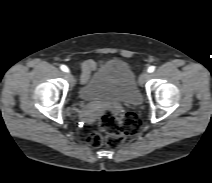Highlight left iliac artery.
<instances>
[{"label": "left iliac artery", "instance_id": "1", "mask_svg": "<svg viewBox=\"0 0 212 183\" xmlns=\"http://www.w3.org/2000/svg\"><path fill=\"white\" fill-rule=\"evenodd\" d=\"M154 70H155V67L150 66L147 71H148V73H152Z\"/></svg>", "mask_w": 212, "mask_h": 183}]
</instances>
